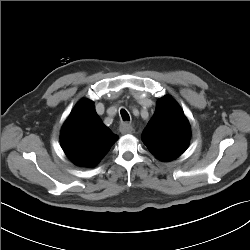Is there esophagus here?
<instances>
[{"instance_id":"1","label":"esophagus","mask_w":250,"mask_h":250,"mask_svg":"<svg viewBox=\"0 0 250 250\" xmlns=\"http://www.w3.org/2000/svg\"><path fill=\"white\" fill-rule=\"evenodd\" d=\"M119 130L122 134H131L134 131L132 125L129 123H121L119 126Z\"/></svg>"}]
</instances>
